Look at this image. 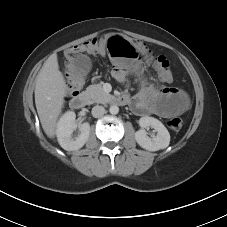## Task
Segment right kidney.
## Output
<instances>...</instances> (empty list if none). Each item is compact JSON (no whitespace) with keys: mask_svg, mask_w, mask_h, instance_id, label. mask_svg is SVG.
I'll return each mask as SVG.
<instances>
[{"mask_svg":"<svg viewBox=\"0 0 227 227\" xmlns=\"http://www.w3.org/2000/svg\"><path fill=\"white\" fill-rule=\"evenodd\" d=\"M76 115L73 111H67L61 116L57 123L56 134L60 146L67 151H74L82 148L87 142L90 134L89 123H83L79 129L80 134L72 137L73 131L77 128L75 123Z\"/></svg>","mask_w":227,"mask_h":227,"instance_id":"1","label":"right kidney"}]
</instances>
